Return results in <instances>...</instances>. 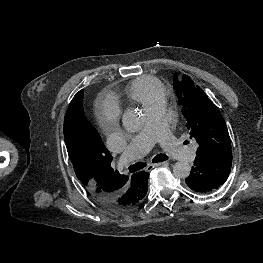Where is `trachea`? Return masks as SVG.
<instances>
[{"label": "trachea", "instance_id": "3493384b", "mask_svg": "<svg viewBox=\"0 0 263 263\" xmlns=\"http://www.w3.org/2000/svg\"><path fill=\"white\" fill-rule=\"evenodd\" d=\"M167 159H168L167 155L158 154L152 159V161L154 163H158V162L166 161ZM145 166H146V163L138 162V163H135L134 165L129 166L128 170L130 173H133V172L139 171L140 169H143Z\"/></svg>", "mask_w": 263, "mask_h": 263}]
</instances>
